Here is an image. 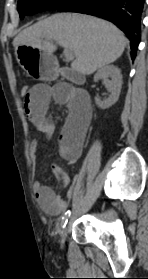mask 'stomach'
Listing matches in <instances>:
<instances>
[{
  "label": "stomach",
  "mask_w": 148,
  "mask_h": 279,
  "mask_svg": "<svg viewBox=\"0 0 148 279\" xmlns=\"http://www.w3.org/2000/svg\"><path fill=\"white\" fill-rule=\"evenodd\" d=\"M26 47L28 50H21ZM15 59L22 66L21 75L31 78V82H58V63L44 51L28 46L15 50Z\"/></svg>",
  "instance_id": "1"
}]
</instances>
